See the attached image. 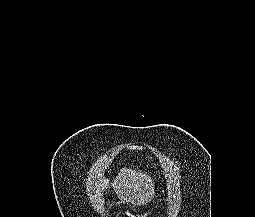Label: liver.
Listing matches in <instances>:
<instances>
[{"mask_svg":"<svg viewBox=\"0 0 255 217\" xmlns=\"http://www.w3.org/2000/svg\"><path fill=\"white\" fill-rule=\"evenodd\" d=\"M96 180H89L87 191L92 198L99 197L109 184V179L102 174L95 176ZM119 200L140 206L149 203L154 194V183L147 172L122 168L112 183Z\"/></svg>","mask_w":255,"mask_h":217,"instance_id":"liver-1","label":"liver"}]
</instances>
